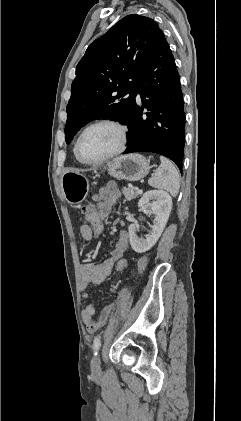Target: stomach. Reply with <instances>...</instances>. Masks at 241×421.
<instances>
[{"instance_id":"obj_1","label":"stomach","mask_w":241,"mask_h":421,"mask_svg":"<svg viewBox=\"0 0 241 421\" xmlns=\"http://www.w3.org/2000/svg\"><path fill=\"white\" fill-rule=\"evenodd\" d=\"M108 174L128 181L143 179L150 171L149 161L140 154H128L114 158L107 164ZM61 187L65 200L79 204L89 191L88 177L79 170H67L61 176Z\"/></svg>"}]
</instances>
